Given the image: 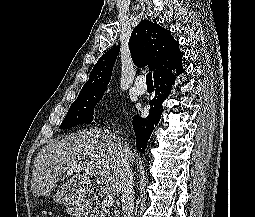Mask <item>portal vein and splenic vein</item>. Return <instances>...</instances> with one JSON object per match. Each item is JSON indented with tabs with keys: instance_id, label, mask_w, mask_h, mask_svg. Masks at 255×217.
Here are the masks:
<instances>
[{
	"instance_id": "1",
	"label": "portal vein and splenic vein",
	"mask_w": 255,
	"mask_h": 217,
	"mask_svg": "<svg viewBox=\"0 0 255 217\" xmlns=\"http://www.w3.org/2000/svg\"><path fill=\"white\" fill-rule=\"evenodd\" d=\"M81 167L76 165V164H72L70 166L67 167V172L68 174H72L73 172L80 170ZM86 172L90 175V176H96V173L91 171V170H86ZM106 208H110L111 206H113L114 204V199L112 197V195H106L103 199V203H102Z\"/></svg>"
}]
</instances>
